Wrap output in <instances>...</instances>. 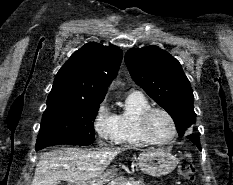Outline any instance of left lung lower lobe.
Masks as SVG:
<instances>
[{
	"mask_svg": "<svg viewBox=\"0 0 233 185\" xmlns=\"http://www.w3.org/2000/svg\"><path fill=\"white\" fill-rule=\"evenodd\" d=\"M186 138L190 139L198 147V149L201 150L200 140L197 135L194 134L187 135Z\"/></svg>",
	"mask_w": 233,
	"mask_h": 185,
	"instance_id": "1",
	"label": "left lung lower lobe"
}]
</instances>
